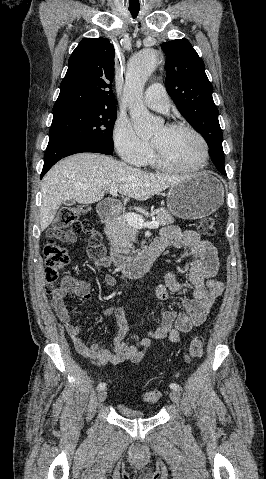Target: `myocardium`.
Masks as SVG:
<instances>
[{"instance_id": "obj_1", "label": "myocardium", "mask_w": 266, "mask_h": 479, "mask_svg": "<svg viewBox=\"0 0 266 479\" xmlns=\"http://www.w3.org/2000/svg\"><path fill=\"white\" fill-rule=\"evenodd\" d=\"M165 128L169 130H185L189 131L192 133L199 141L201 148H202V156L200 162L195 165V166H175L172 164L167 163L159 154V152L156 150V148L153 145V159L156 164V166L167 172H182V173H196L202 171L209 160V147L207 144L206 139L203 137V135L195 129L193 126L185 123H170L165 126Z\"/></svg>"}]
</instances>
